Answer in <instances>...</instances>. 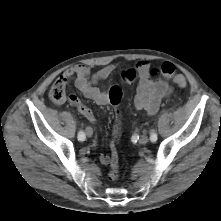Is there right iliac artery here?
Segmentation results:
<instances>
[{
	"label": "right iliac artery",
	"mask_w": 221,
	"mask_h": 221,
	"mask_svg": "<svg viewBox=\"0 0 221 221\" xmlns=\"http://www.w3.org/2000/svg\"><path fill=\"white\" fill-rule=\"evenodd\" d=\"M78 140L79 141H84L85 140V134H84V132L83 131H80L79 133H78Z\"/></svg>",
	"instance_id": "obj_1"
}]
</instances>
